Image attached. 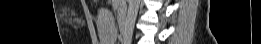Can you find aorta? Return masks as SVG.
Listing matches in <instances>:
<instances>
[{"label":"aorta","mask_w":261,"mask_h":44,"mask_svg":"<svg viewBox=\"0 0 261 44\" xmlns=\"http://www.w3.org/2000/svg\"><path fill=\"white\" fill-rule=\"evenodd\" d=\"M128 3L129 6H128L126 21H125L124 35H123V41L127 44L132 41L135 21L140 6V0H128Z\"/></svg>","instance_id":"762f6f07"}]
</instances>
